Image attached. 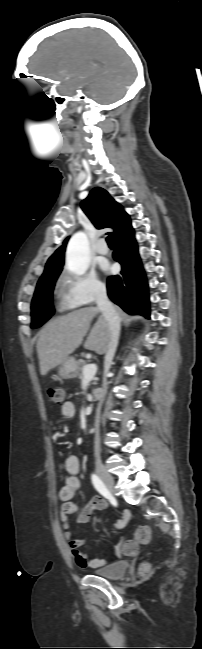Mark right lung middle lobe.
I'll return each mask as SVG.
<instances>
[{"label":"right lung middle lobe","mask_w":202,"mask_h":649,"mask_svg":"<svg viewBox=\"0 0 202 649\" xmlns=\"http://www.w3.org/2000/svg\"><path fill=\"white\" fill-rule=\"evenodd\" d=\"M60 272L40 277L31 304V328L43 325L53 314L52 294Z\"/></svg>","instance_id":"dd1d6c3e"}]
</instances>
